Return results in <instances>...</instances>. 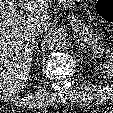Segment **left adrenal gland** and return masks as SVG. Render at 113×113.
Wrapping results in <instances>:
<instances>
[{
	"label": "left adrenal gland",
	"mask_w": 113,
	"mask_h": 113,
	"mask_svg": "<svg viewBox=\"0 0 113 113\" xmlns=\"http://www.w3.org/2000/svg\"><path fill=\"white\" fill-rule=\"evenodd\" d=\"M75 38L77 39V46L79 48L86 47L85 44L80 41V39H78L77 37H75Z\"/></svg>",
	"instance_id": "1"
}]
</instances>
